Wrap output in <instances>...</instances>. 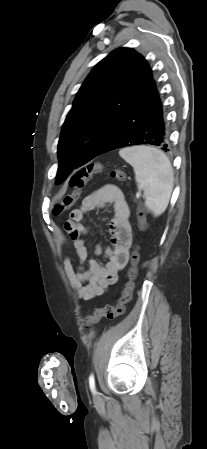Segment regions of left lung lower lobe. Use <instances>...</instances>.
I'll use <instances>...</instances> for the list:
<instances>
[{
  "mask_svg": "<svg viewBox=\"0 0 207 449\" xmlns=\"http://www.w3.org/2000/svg\"><path fill=\"white\" fill-rule=\"evenodd\" d=\"M138 144H150L164 151L169 150L164 108L154 80L137 104L112 130L95 157Z\"/></svg>",
  "mask_w": 207,
  "mask_h": 449,
  "instance_id": "1",
  "label": "left lung lower lobe"
}]
</instances>
